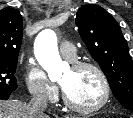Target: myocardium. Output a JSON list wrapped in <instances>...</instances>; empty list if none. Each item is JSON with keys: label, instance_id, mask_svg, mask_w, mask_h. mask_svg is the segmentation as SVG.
<instances>
[{"label": "myocardium", "instance_id": "myocardium-1", "mask_svg": "<svg viewBox=\"0 0 133 118\" xmlns=\"http://www.w3.org/2000/svg\"><path fill=\"white\" fill-rule=\"evenodd\" d=\"M71 67L75 70H81V69L93 70L98 75V77L101 81L102 88H103V96H102V99L98 103H96L92 106H86V107L85 106H78V105H75L74 103L71 102V100L68 98V96L66 95V93L63 89L62 99H63L64 105L70 111H73L76 113H84V114L94 113V112L99 111L103 107H105L110 100L111 87H110L109 80H108L105 72L102 70V68L99 65H97L93 62H88V61L75 62L72 64Z\"/></svg>", "mask_w": 133, "mask_h": 118}]
</instances>
